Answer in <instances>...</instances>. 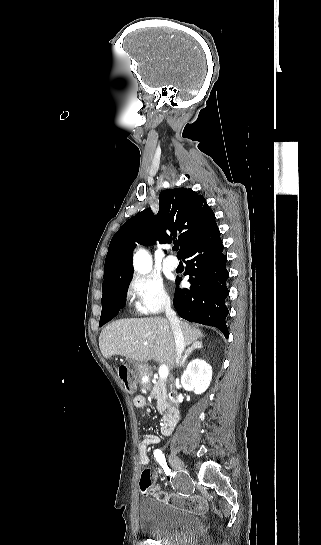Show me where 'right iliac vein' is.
Listing matches in <instances>:
<instances>
[{
	"mask_svg": "<svg viewBox=\"0 0 321 545\" xmlns=\"http://www.w3.org/2000/svg\"><path fill=\"white\" fill-rule=\"evenodd\" d=\"M169 462L174 469L179 471L185 470L183 461L176 454L171 453L169 455Z\"/></svg>",
	"mask_w": 321,
	"mask_h": 545,
	"instance_id": "obj_1",
	"label": "right iliac vein"
}]
</instances>
